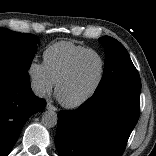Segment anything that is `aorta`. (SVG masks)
<instances>
[{
	"mask_svg": "<svg viewBox=\"0 0 156 156\" xmlns=\"http://www.w3.org/2000/svg\"><path fill=\"white\" fill-rule=\"evenodd\" d=\"M57 113L52 110H47L42 114V123L47 128H53L57 125Z\"/></svg>",
	"mask_w": 156,
	"mask_h": 156,
	"instance_id": "1",
	"label": "aorta"
}]
</instances>
